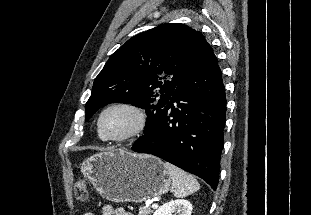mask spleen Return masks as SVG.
I'll list each match as a JSON object with an SVG mask.
<instances>
[{
    "label": "spleen",
    "mask_w": 311,
    "mask_h": 215,
    "mask_svg": "<svg viewBox=\"0 0 311 215\" xmlns=\"http://www.w3.org/2000/svg\"><path fill=\"white\" fill-rule=\"evenodd\" d=\"M164 167L172 180L176 198L186 197L200 189V184L191 174L168 162L164 163Z\"/></svg>",
    "instance_id": "3e777b00"
}]
</instances>
